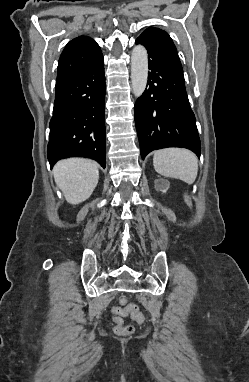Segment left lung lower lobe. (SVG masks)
Listing matches in <instances>:
<instances>
[{
	"label": "left lung lower lobe",
	"instance_id": "left-lung-lower-lobe-1",
	"mask_svg": "<svg viewBox=\"0 0 249 382\" xmlns=\"http://www.w3.org/2000/svg\"><path fill=\"white\" fill-rule=\"evenodd\" d=\"M148 52V88L135 104V123L141 157L156 149L183 147L198 157L201 144L190 107L183 70L162 58L140 38Z\"/></svg>",
	"mask_w": 249,
	"mask_h": 382
}]
</instances>
